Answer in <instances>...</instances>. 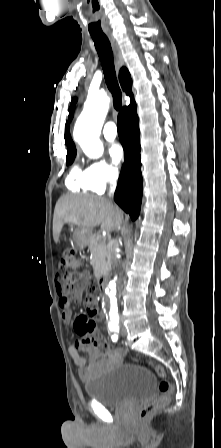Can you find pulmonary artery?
Instances as JSON below:
<instances>
[{
    "mask_svg": "<svg viewBox=\"0 0 221 448\" xmlns=\"http://www.w3.org/2000/svg\"><path fill=\"white\" fill-rule=\"evenodd\" d=\"M103 135L106 140L113 141L117 137V127L113 122H107L103 128Z\"/></svg>",
    "mask_w": 221,
    "mask_h": 448,
    "instance_id": "e3ab8cb5",
    "label": "pulmonary artery"
}]
</instances>
